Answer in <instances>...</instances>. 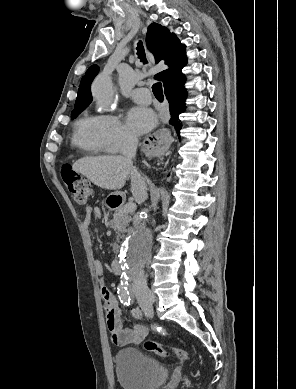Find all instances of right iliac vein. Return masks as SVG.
Instances as JSON below:
<instances>
[{
    "label": "right iliac vein",
    "instance_id": "63e3f726",
    "mask_svg": "<svg viewBox=\"0 0 296 389\" xmlns=\"http://www.w3.org/2000/svg\"><path fill=\"white\" fill-rule=\"evenodd\" d=\"M153 300H154V298H149V299H148V301H153Z\"/></svg>",
    "mask_w": 296,
    "mask_h": 389
}]
</instances>
